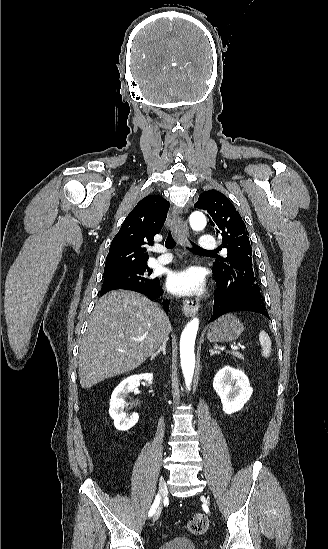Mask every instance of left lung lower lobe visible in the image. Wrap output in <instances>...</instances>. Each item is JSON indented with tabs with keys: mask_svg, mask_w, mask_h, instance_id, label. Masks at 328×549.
<instances>
[{
	"mask_svg": "<svg viewBox=\"0 0 328 549\" xmlns=\"http://www.w3.org/2000/svg\"><path fill=\"white\" fill-rule=\"evenodd\" d=\"M215 279L218 288L214 295L213 315L210 321L233 311H251L269 318L264 302L262 299L257 298L253 291L242 287L236 288L232 284L225 285L216 277Z\"/></svg>",
	"mask_w": 328,
	"mask_h": 549,
	"instance_id": "left-lung-lower-lobe-1",
	"label": "left lung lower lobe"
}]
</instances>
